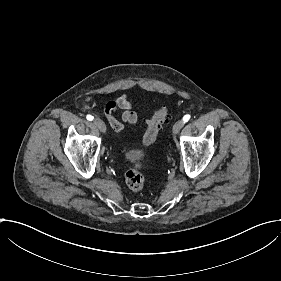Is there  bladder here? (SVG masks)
Listing matches in <instances>:
<instances>
[{"label": "bladder", "mask_w": 281, "mask_h": 281, "mask_svg": "<svg viewBox=\"0 0 281 281\" xmlns=\"http://www.w3.org/2000/svg\"><path fill=\"white\" fill-rule=\"evenodd\" d=\"M134 157H135V154H134V153H128V155H127V158H128L129 160H133Z\"/></svg>", "instance_id": "1"}]
</instances>
